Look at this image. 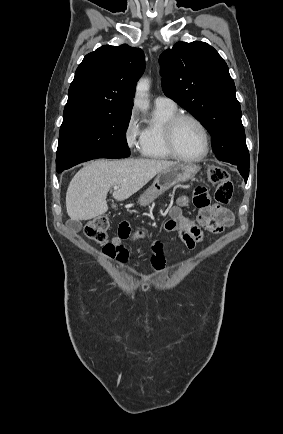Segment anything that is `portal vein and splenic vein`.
Returning a JSON list of instances; mask_svg holds the SVG:
<instances>
[{
    "label": "portal vein and splenic vein",
    "instance_id": "1",
    "mask_svg": "<svg viewBox=\"0 0 283 434\" xmlns=\"http://www.w3.org/2000/svg\"><path fill=\"white\" fill-rule=\"evenodd\" d=\"M113 188H114V189H118V186H114Z\"/></svg>",
    "mask_w": 283,
    "mask_h": 434
}]
</instances>
